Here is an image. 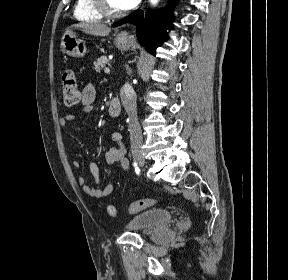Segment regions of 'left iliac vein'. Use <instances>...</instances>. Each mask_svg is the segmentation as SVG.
Returning a JSON list of instances; mask_svg holds the SVG:
<instances>
[{
    "mask_svg": "<svg viewBox=\"0 0 288 280\" xmlns=\"http://www.w3.org/2000/svg\"><path fill=\"white\" fill-rule=\"evenodd\" d=\"M139 165L143 167L145 165V160L144 159H138Z\"/></svg>",
    "mask_w": 288,
    "mask_h": 280,
    "instance_id": "left-iliac-vein-1",
    "label": "left iliac vein"
}]
</instances>
